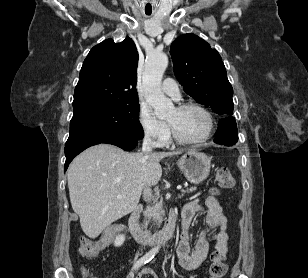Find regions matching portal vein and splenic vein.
Wrapping results in <instances>:
<instances>
[{
    "mask_svg": "<svg viewBox=\"0 0 308 278\" xmlns=\"http://www.w3.org/2000/svg\"><path fill=\"white\" fill-rule=\"evenodd\" d=\"M177 189H178V190H181V189H182V186H181V185H178V186H177ZM117 198H118V199H121L122 196H121V195H118Z\"/></svg>",
    "mask_w": 308,
    "mask_h": 278,
    "instance_id": "18ae733b",
    "label": "portal vein and splenic vein"
}]
</instances>
